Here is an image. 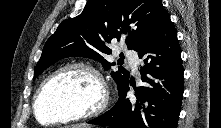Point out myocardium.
Instances as JSON below:
<instances>
[{"label":"myocardium","mask_w":221,"mask_h":128,"mask_svg":"<svg viewBox=\"0 0 221 128\" xmlns=\"http://www.w3.org/2000/svg\"><path fill=\"white\" fill-rule=\"evenodd\" d=\"M82 70L90 74L94 79L98 87V92L95 96V98L92 100L90 105L86 107L83 111L75 113V114H69L67 116L56 118L51 122L43 123L39 120L37 115V105L39 103L41 94L45 88V86L48 84L49 81H51L53 78L57 77L58 75L70 71V70ZM109 101V93L107 89L106 82L102 76V74L94 68L92 65L83 63V62H74L67 65H64L54 72L50 73L39 85L33 100V113L36 118V120L41 124L46 125H56V124H66V123H72L77 122L82 119L88 118V117H95L101 114L105 108L108 105Z\"/></svg>","instance_id":"f54148a6"}]
</instances>
